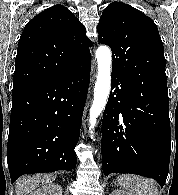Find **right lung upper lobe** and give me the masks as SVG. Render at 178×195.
<instances>
[{"instance_id": "right-lung-upper-lobe-1", "label": "right lung upper lobe", "mask_w": 178, "mask_h": 195, "mask_svg": "<svg viewBox=\"0 0 178 195\" xmlns=\"http://www.w3.org/2000/svg\"><path fill=\"white\" fill-rule=\"evenodd\" d=\"M85 27L62 5L36 15L25 26L18 43L13 87L71 75L90 63Z\"/></svg>"}]
</instances>
